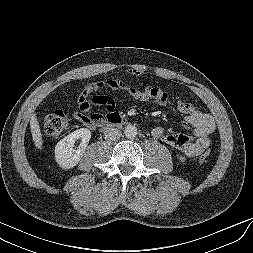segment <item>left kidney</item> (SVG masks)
<instances>
[{
  "label": "left kidney",
  "instance_id": "5707ae66",
  "mask_svg": "<svg viewBox=\"0 0 253 253\" xmlns=\"http://www.w3.org/2000/svg\"><path fill=\"white\" fill-rule=\"evenodd\" d=\"M178 159H179L181 162H185V161H186V158L183 157L182 155H178Z\"/></svg>",
  "mask_w": 253,
  "mask_h": 253
}]
</instances>
